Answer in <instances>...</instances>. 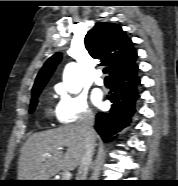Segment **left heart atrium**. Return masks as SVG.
Instances as JSON below:
<instances>
[{"mask_svg": "<svg viewBox=\"0 0 178 186\" xmlns=\"http://www.w3.org/2000/svg\"><path fill=\"white\" fill-rule=\"evenodd\" d=\"M93 102L96 105H100L101 104V95H100V93H98V92L94 93V95H93Z\"/></svg>", "mask_w": 178, "mask_h": 186, "instance_id": "1", "label": "left heart atrium"}]
</instances>
